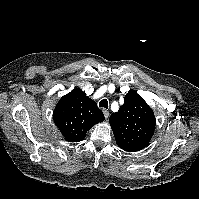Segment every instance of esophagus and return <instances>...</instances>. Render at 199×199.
Here are the masks:
<instances>
[{
  "label": "esophagus",
  "mask_w": 199,
  "mask_h": 199,
  "mask_svg": "<svg viewBox=\"0 0 199 199\" xmlns=\"http://www.w3.org/2000/svg\"><path fill=\"white\" fill-rule=\"evenodd\" d=\"M103 114L106 119L109 117V112L106 109H103Z\"/></svg>",
  "instance_id": "esophagus-1"
}]
</instances>
